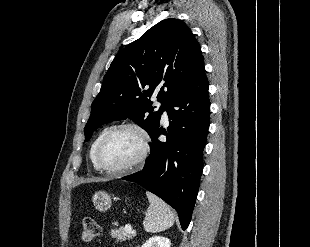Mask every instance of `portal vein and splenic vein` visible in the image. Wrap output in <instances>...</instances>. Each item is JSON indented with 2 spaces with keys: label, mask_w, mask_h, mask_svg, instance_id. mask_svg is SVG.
<instances>
[{
  "label": "portal vein and splenic vein",
  "mask_w": 310,
  "mask_h": 247,
  "mask_svg": "<svg viewBox=\"0 0 310 247\" xmlns=\"http://www.w3.org/2000/svg\"><path fill=\"white\" fill-rule=\"evenodd\" d=\"M124 229H125V231L135 233V230H133L131 225H129V224H126Z\"/></svg>",
  "instance_id": "obj_1"
}]
</instances>
